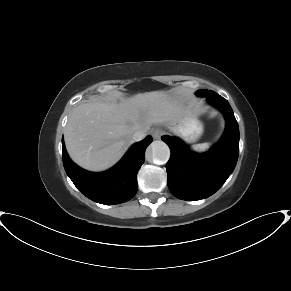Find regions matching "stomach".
<instances>
[{"label":"stomach","instance_id":"0dacf381","mask_svg":"<svg viewBox=\"0 0 291 291\" xmlns=\"http://www.w3.org/2000/svg\"><path fill=\"white\" fill-rule=\"evenodd\" d=\"M167 125L188 142L197 141L203 134V125L192 112L182 110L180 115Z\"/></svg>","mask_w":291,"mask_h":291}]
</instances>
